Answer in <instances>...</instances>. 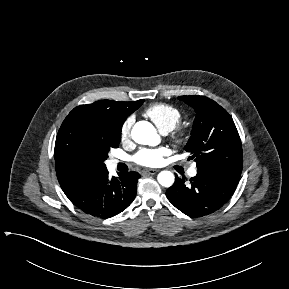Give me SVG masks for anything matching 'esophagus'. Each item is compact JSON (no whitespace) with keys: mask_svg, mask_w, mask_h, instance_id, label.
I'll list each match as a JSON object with an SVG mask.
<instances>
[{"mask_svg":"<svg viewBox=\"0 0 289 289\" xmlns=\"http://www.w3.org/2000/svg\"><path fill=\"white\" fill-rule=\"evenodd\" d=\"M158 172V170H155V169H146V170H143L142 173L144 175H154Z\"/></svg>","mask_w":289,"mask_h":289,"instance_id":"esophagus-1","label":"esophagus"}]
</instances>
